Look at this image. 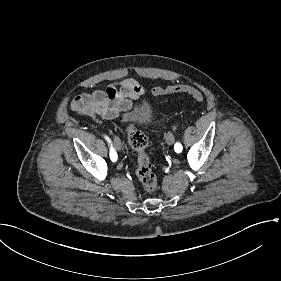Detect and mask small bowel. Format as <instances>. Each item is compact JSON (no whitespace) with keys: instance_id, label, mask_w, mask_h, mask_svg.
Here are the masks:
<instances>
[{"instance_id":"small-bowel-1","label":"small bowel","mask_w":281,"mask_h":281,"mask_svg":"<svg viewBox=\"0 0 281 281\" xmlns=\"http://www.w3.org/2000/svg\"><path fill=\"white\" fill-rule=\"evenodd\" d=\"M168 87H172L168 86ZM144 87L135 77L114 81L105 90H94L76 96L70 109L78 114L112 120L141 101Z\"/></svg>"}]
</instances>
